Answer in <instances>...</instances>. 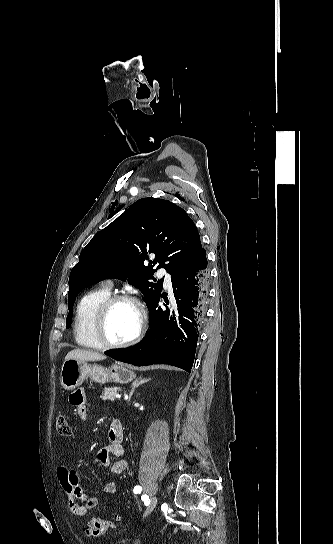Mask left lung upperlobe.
Wrapping results in <instances>:
<instances>
[{
  "label": "left lung upper lobe",
  "instance_id": "obj_1",
  "mask_svg": "<svg viewBox=\"0 0 333 544\" xmlns=\"http://www.w3.org/2000/svg\"><path fill=\"white\" fill-rule=\"evenodd\" d=\"M201 247L197 228L184 209L158 198L136 201L82 250L69 277L66 327L71 326L72 308L81 289L103 277L128 278L150 305L160 296L163 282L154 279L153 268L163 267L173 276ZM150 253L155 254L154 260L149 259Z\"/></svg>",
  "mask_w": 333,
  "mask_h": 544
}]
</instances>
